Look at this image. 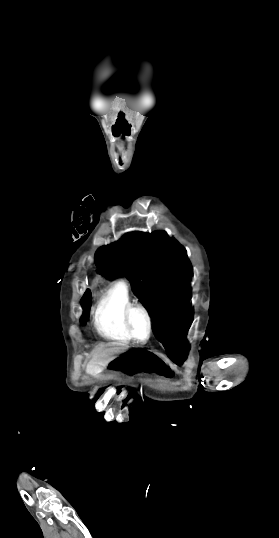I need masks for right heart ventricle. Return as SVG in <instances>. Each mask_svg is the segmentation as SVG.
<instances>
[{"instance_id":"right-heart-ventricle-1","label":"right heart ventricle","mask_w":279,"mask_h":538,"mask_svg":"<svg viewBox=\"0 0 279 538\" xmlns=\"http://www.w3.org/2000/svg\"><path fill=\"white\" fill-rule=\"evenodd\" d=\"M102 227L89 231L94 240L100 239ZM135 304L129 287L124 281L112 283L105 289L93 311V323L97 331L104 337L129 342L131 339L124 327V313L128 306Z\"/></svg>"}]
</instances>
